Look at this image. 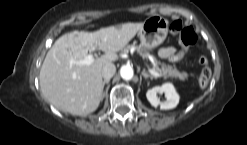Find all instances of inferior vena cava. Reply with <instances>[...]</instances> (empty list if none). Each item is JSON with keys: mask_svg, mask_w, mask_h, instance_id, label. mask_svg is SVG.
<instances>
[{"mask_svg": "<svg viewBox=\"0 0 247 145\" xmlns=\"http://www.w3.org/2000/svg\"><path fill=\"white\" fill-rule=\"evenodd\" d=\"M116 72V67L113 63H107L102 68V77L104 80L112 78Z\"/></svg>", "mask_w": 247, "mask_h": 145, "instance_id": "1", "label": "inferior vena cava"}]
</instances>
